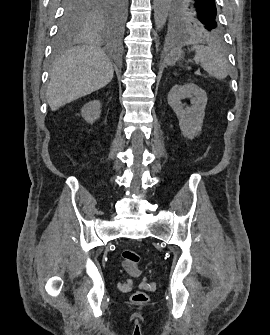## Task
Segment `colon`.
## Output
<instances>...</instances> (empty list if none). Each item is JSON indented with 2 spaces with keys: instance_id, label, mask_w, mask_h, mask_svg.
<instances>
[{
  "instance_id": "obj_1",
  "label": "colon",
  "mask_w": 270,
  "mask_h": 335,
  "mask_svg": "<svg viewBox=\"0 0 270 335\" xmlns=\"http://www.w3.org/2000/svg\"><path fill=\"white\" fill-rule=\"evenodd\" d=\"M122 264L128 270H135L140 264V253L135 249H124L122 251ZM132 300L137 303L148 301V294L144 291L134 292Z\"/></svg>"
}]
</instances>
